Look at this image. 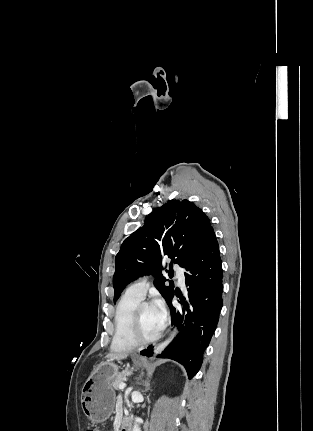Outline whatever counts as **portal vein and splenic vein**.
<instances>
[{
  "mask_svg": "<svg viewBox=\"0 0 313 431\" xmlns=\"http://www.w3.org/2000/svg\"><path fill=\"white\" fill-rule=\"evenodd\" d=\"M125 387H126V384H125V383H121V384L119 385V389H121V390H123Z\"/></svg>",
  "mask_w": 313,
  "mask_h": 431,
  "instance_id": "portal-vein-and-splenic-vein-1",
  "label": "portal vein and splenic vein"
}]
</instances>
